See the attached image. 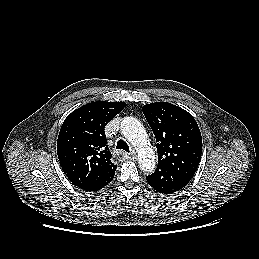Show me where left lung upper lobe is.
<instances>
[{
	"mask_svg": "<svg viewBox=\"0 0 259 259\" xmlns=\"http://www.w3.org/2000/svg\"><path fill=\"white\" fill-rule=\"evenodd\" d=\"M143 113L157 142L158 165L190 181L202 153L197 122L186 110L167 102L143 106Z\"/></svg>",
	"mask_w": 259,
	"mask_h": 259,
	"instance_id": "1",
	"label": "left lung upper lobe"
}]
</instances>
